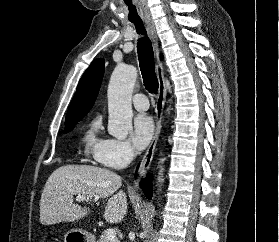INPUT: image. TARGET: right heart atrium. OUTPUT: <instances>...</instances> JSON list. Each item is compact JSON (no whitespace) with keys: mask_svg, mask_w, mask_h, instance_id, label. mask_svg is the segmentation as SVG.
<instances>
[{"mask_svg":"<svg viewBox=\"0 0 279 242\" xmlns=\"http://www.w3.org/2000/svg\"><path fill=\"white\" fill-rule=\"evenodd\" d=\"M134 157L135 152L130 143L119 139H107L94 156L98 163L111 169L126 167L133 161Z\"/></svg>","mask_w":279,"mask_h":242,"instance_id":"d8ad5b80","label":"right heart atrium"}]
</instances>
